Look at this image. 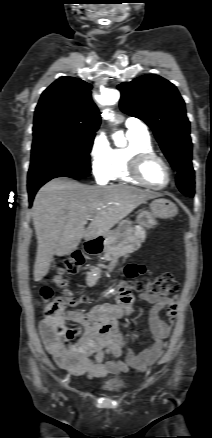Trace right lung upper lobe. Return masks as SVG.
Returning <instances> with one entry per match:
<instances>
[{
	"label": "right lung upper lobe",
	"instance_id": "obj_1",
	"mask_svg": "<svg viewBox=\"0 0 212 438\" xmlns=\"http://www.w3.org/2000/svg\"><path fill=\"white\" fill-rule=\"evenodd\" d=\"M91 88L79 78L57 79L41 95L33 131L61 129L95 133L100 125V112L91 99Z\"/></svg>",
	"mask_w": 212,
	"mask_h": 438
}]
</instances>
